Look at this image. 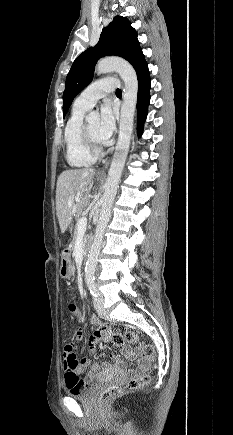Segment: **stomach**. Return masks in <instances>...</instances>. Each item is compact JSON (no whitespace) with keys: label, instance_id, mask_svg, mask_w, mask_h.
Listing matches in <instances>:
<instances>
[{"label":"stomach","instance_id":"obj_1","mask_svg":"<svg viewBox=\"0 0 233 435\" xmlns=\"http://www.w3.org/2000/svg\"><path fill=\"white\" fill-rule=\"evenodd\" d=\"M59 274L62 278L68 279L72 275V264L71 260L68 256H63L61 260V266L59 270Z\"/></svg>","mask_w":233,"mask_h":435}]
</instances>
